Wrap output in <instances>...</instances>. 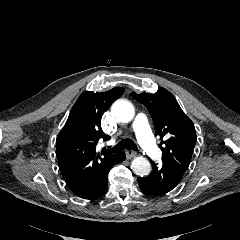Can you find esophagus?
<instances>
[{
  "mask_svg": "<svg viewBox=\"0 0 240 240\" xmlns=\"http://www.w3.org/2000/svg\"><path fill=\"white\" fill-rule=\"evenodd\" d=\"M125 154H126L127 159H131L136 156L137 152L132 149H127L125 151Z\"/></svg>",
  "mask_w": 240,
  "mask_h": 240,
  "instance_id": "1",
  "label": "esophagus"
}]
</instances>
